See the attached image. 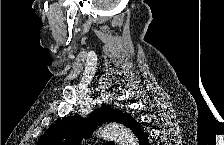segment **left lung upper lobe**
<instances>
[{
  "instance_id": "left-lung-upper-lobe-1",
  "label": "left lung upper lobe",
  "mask_w": 224,
  "mask_h": 145,
  "mask_svg": "<svg viewBox=\"0 0 224 145\" xmlns=\"http://www.w3.org/2000/svg\"><path fill=\"white\" fill-rule=\"evenodd\" d=\"M133 118L129 114L104 105L89 118L65 117L52 125L39 139L37 145H79L103 122H118L130 128Z\"/></svg>"
}]
</instances>
